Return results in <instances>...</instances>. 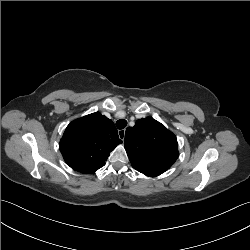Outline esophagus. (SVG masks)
<instances>
[{
	"label": "esophagus",
	"instance_id": "34e87169",
	"mask_svg": "<svg viewBox=\"0 0 250 250\" xmlns=\"http://www.w3.org/2000/svg\"><path fill=\"white\" fill-rule=\"evenodd\" d=\"M118 136L121 140L125 138V129L118 130Z\"/></svg>",
	"mask_w": 250,
	"mask_h": 250
}]
</instances>
